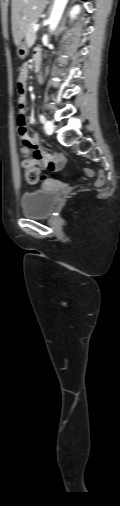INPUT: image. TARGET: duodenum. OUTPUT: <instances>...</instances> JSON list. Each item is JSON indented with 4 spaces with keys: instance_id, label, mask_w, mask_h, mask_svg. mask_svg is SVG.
<instances>
[{
    "instance_id": "410a0bca",
    "label": "duodenum",
    "mask_w": 120,
    "mask_h": 506,
    "mask_svg": "<svg viewBox=\"0 0 120 506\" xmlns=\"http://www.w3.org/2000/svg\"><path fill=\"white\" fill-rule=\"evenodd\" d=\"M40 62H41V54L40 53H36L35 56H34V63L38 67L39 64H40Z\"/></svg>"
}]
</instances>
